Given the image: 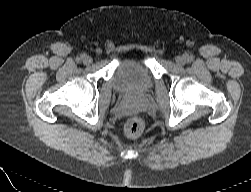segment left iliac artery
<instances>
[{
	"mask_svg": "<svg viewBox=\"0 0 251 192\" xmlns=\"http://www.w3.org/2000/svg\"><path fill=\"white\" fill-rule=\"evenodd\" d=\"M187 60H188V61H191V60H192V57H191V56H189V57L187 58Z\"/></svg>",
	"mask_w": 251,
	"mask_h": 192,
	"instance_id": "left-iliac-artery-1",
	"label": "left iliac artery"
}]
</instances>
